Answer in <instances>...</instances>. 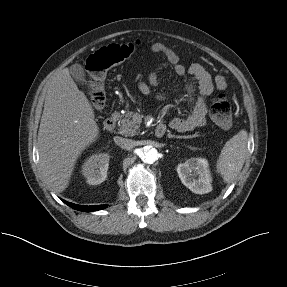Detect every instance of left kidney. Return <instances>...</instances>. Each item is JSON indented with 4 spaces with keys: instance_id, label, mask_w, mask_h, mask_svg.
<instances>
[{
    "instance_id": "obj_1",
    "label": "left kidney",
    "mask_w": 287,
    "mask_h": 287,
    "mask_svg": "<svg viewBox=\"0 0 287 287\" xmlns=\"http://www.w3.org/2000/svg\"><path fill=\"white\" fill-rule=\"evenodd\" d=\"M181 182L196 194H205L212 191V177L205 158H190L177 167Z\"/></svg>"
}]
</instances>
